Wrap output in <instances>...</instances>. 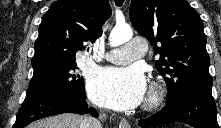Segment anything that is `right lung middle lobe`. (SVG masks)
Segmentation results:
<instances>
[{
  "instance_id": "right-lung-middle-lobe-1",
  "label": "right lung middle lobe",
  "mask_w": 221,
  "mask_h": 128,
  "mask_svg": "<svg viewBox=\"0 0 221 128\" xmlns=\"http://www.w3.org/2000/svg\"><path fill=\"white\" fill-rule=\"evenodd\" d=\"M76 63L34 74L26 96L53 88H65L85 94L84 79L75 70Z\"/></svg>"
}]
</instances>
